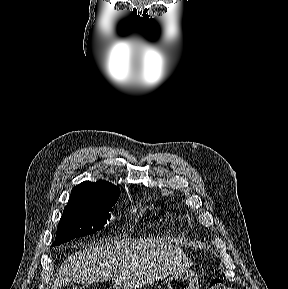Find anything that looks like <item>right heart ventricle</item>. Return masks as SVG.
Returning a JSON list of instances; mask_svg holds the SVG:
<instances>
[{
    "label": "right heart ventricle",
    "instance_id": "1",
    "mask_svg": "<svg viewBox=\"0 0 288 289\" xmlns=\"http://www.w3.org/2000/svg\"><path fill=\"white\" fill-rule=\"evenodd\" d=\"M175 218H177L176 212L171 207H166L163 216L158 219V223L161 225H167Z\"/></svg>",
    "mask_w": 288,
    "mask_h": 289
}]
</instances>
